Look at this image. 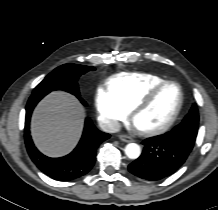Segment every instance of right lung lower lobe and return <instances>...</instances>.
I'll use <instances>...</instances> for the list:
<instances>
[{"mask_svg": "<svg viewBox=\"0 0 218 210\" xmlns=\"http://www.w3.org/2000/svg\"><path fill=\"white\" fill-rule=\"evenodd\" d=\"M44 96H31L26 106L24 136L30 158L43 173L55 180L69 181L87 174L95 163L98 145L108 139L110 135L99 131L87 118L82 138L70 154L60 158H50L43 155L33 144L29 125L34 107ZM79 100L86 105L80 97Z\"/></svg>", "mask_w": 218, "mask_h": 210, "instance_id": "98d812e1", "label": "right lung lower lobe"}]
</instances>
